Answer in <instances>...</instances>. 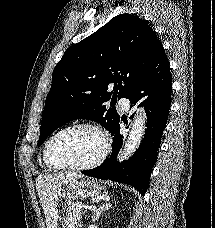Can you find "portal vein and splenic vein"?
<instances>
[{"label": "portal vein and splenic vein", "instance_id": "obj_1", "mask_svg": "<svg viewBox=\"0 0 215 228\" xmlns=\"http://www.w3.org/2000/svg\"><path fill=\"white\" fill-rule=\"evenodd\" d=\"M75 210H79L81 212V208H84V210H97V208H92V206H82V204H74Z\"/></svg>", "mask_w": 215, "mask_h": 228}]
</instances>
